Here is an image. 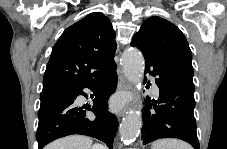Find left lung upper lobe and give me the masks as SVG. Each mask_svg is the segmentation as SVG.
Returning a JSON list of instances; mask_svg holds the SVG:
<instances>
[{"instance_id":"1","label":"left lung upper lobe","mask_w":227,"mask_h":149,"mask_svg":"<svg viewBox=\"0 0 227 149\" xmlns=\"http://www.w3.org/2000/svg\"><path fill=\"white\" fill-rule=\"evenodd\" d=\"M135 40L144 42L153 57L176 78L194 89L192 53L185 36L177 26L153 16L142 24L132 42Z\"/></svg>"}]
</instances>
